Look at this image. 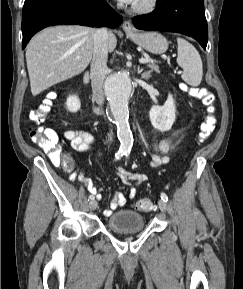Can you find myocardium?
<instances>
[{
    "instance_id": "myocardium-1",
    "label": "myocardium",
    "mask_w": 243,
    "mask_h": 289,
    "mask_svg": "<svg viewBox=\"0 0 243 289\" xmlns=\"http://www.w3.org/2000/svg\"><path fill=\"white\" fill-rule=\"evenodd\" d=\"M159 5V0H141L134 3L131 11L136 14H148L154 11Z\"/></svg>"
}]
</instances>
